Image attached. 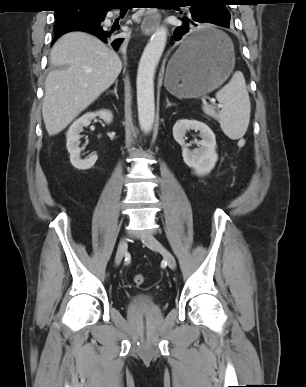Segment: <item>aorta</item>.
<instances>
[{
    "mask_svg": "<svg viewBox=\"0 0 306 387\" xmlns=\"http://www.w3.org/2000/svg\"><path fill=\"white\" fill-rule=\"evenodd\" d=\"M167 28L160 27L147 43L137 71V106L141 130L149 133L154 124L155 98L154 76L167 42Z\"/></svg>",
    "mask_w": 306,
    "mask_h": 387,
    "instance_id": "aorta-1",
    "label": "aorta"
}]
</instances>
